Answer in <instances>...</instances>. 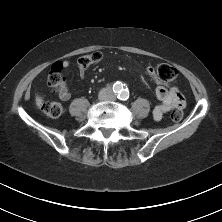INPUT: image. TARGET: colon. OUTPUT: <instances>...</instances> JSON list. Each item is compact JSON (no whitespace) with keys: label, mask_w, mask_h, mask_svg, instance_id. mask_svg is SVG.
Here are the masks:
<instances>
[{"label":"colon","mask_w":222,"mask_h":222,"mask_svg":"<svg viewBox=\"0 0 222 222\" xmlns=\"http://www.w3.org/2000/svg\"><path fill=\"white\" fill-rule=\"evenodd\" d=\"M102 53L100 51H93L81 56L78 60L79 65L84 69L98 64L102 60ZM63 66L61 62L53 64L51 72L48 77L49 86L54 90H60L62 83L61 70ZM155 70L162 75V82L165 84L173 83L178 76L177 70L169 64H159L154 67ZM41 110L49 118H57L63 112V106L57 101H43L40 104ZM183 117L182 106L175 108L171 113V120L178 122Z\"/></svg>","instance_id":"obj_1"}]
</instances>
